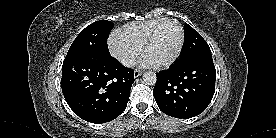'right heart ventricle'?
I'll return each mask as SVG.
<instances>
[{
    "label": "right heart ventricle",
    "mask_w": 276,
    "mask_h": 138,
    "mask_svg": "<svg viewBox=\"0 0 276 138\" xmlns=\"http://www.w3.org/2000/svg\"><path fill=\"white\" fill-rule=\"evenodd\" d=\"M162 20L163 18H156L129 23L121 28L117 35L141 49L151 30Z\"/></svg>",
    "instance_id": "right-heart-ventricle-1"
}]
</instances>
